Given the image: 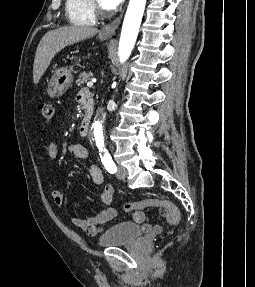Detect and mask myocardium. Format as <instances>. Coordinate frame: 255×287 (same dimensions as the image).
I'll list each match as a JSON object with an SVG mask.
<instances>
[{
	"instance_id": "f54148a6",
	"label": "myocardium",
	"mask_w": 255,
	"mask_h": 287,
	"mask_svg": "<svg viewBox=\"0 0 255 287\" xmlns=\"http://www.w3.org/2000/svg\"><path fill=\"white\" fill-rule=\"evenodd\" d=\"M99 33H110V32H99ZM108 39H122V38H108ZM110 48V47H108ZM127 48H131V47H127Z\"/></svg>"
}]
</instances>
